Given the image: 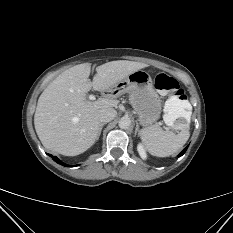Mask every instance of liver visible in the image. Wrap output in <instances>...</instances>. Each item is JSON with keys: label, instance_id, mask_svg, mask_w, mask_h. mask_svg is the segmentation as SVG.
Listing matches in <instances>:
<instances>
[{"label": "liver", "instance_id": "6515ba94", "mask_svg": "<svg viewBox=\"0 0 233 233\" xmlns=\"http://www.w3.org/2000/svg\"><path fill=\"white\" fill-rule=\"evenodd\" d=\"M147 64L118 60L96 67L91 82V64L73 66L57 76L38 99L34 125L43 146L66 156H76L89 149L97 138L100 110L116 107L111 97L92 102L86 94L93 88L107 91L134 71Z\"/></svg>", "mask_w": 233, "mask_h": 233}]
</instances>
